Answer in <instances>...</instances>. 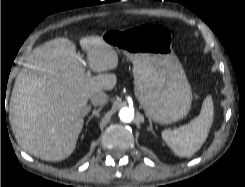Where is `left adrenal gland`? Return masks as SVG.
I'll use <instances>...</instances> for the list:
<instances>
[{"label": "left adrenal gland", "mask_w": 245, "mask_h": 187, "mask_svg": "<svg viewBox=\"0 0 245 187\" xmlns=\"http://www.w3.org/2000/svg\"><path fill=\"white\" fill-rule=\"evenodd\" d=\"M149 122H150V127H149V130L153 132L152 122H151V120H149Z\"/></svg>", "instance_id": "1"}]
</instances>
